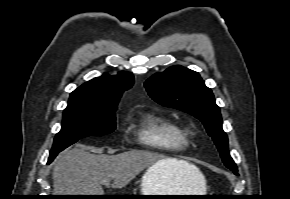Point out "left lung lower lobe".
<instances>
[{
    "label": "left lung lower lobe",
    "instance_id": "1",
    "mask_svg": "<svg viewBox=\"0 0 290 199\" xmlns=\"http://www.w3.org/2000/svg\"><path fill=\"white\" fill-rule=\"evenodd\" d=\"M236 175H238V173L237 172H234Z\"/></svg>",
    "mask_w": 290,
    "mask_h": 199
}]
</instances>
